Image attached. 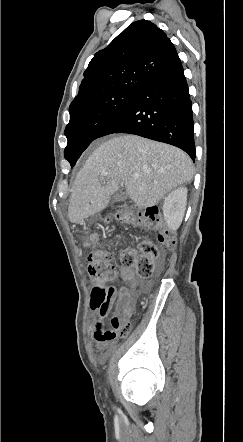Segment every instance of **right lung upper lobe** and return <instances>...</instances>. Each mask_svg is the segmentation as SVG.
<instances>
[{
	"label": "right lung upper lobe",
	"instance_id": "1",
	"mask_svg": "<svg viewBox=\"0 0 243 442\" xmlns=\"http://www.w3.org/2000/svg\"><path fill=\"white\" fill-rule=\"evenodd\" d=\"M176 56L173 43L155 24L132 23L94 55L69 111L113 92L136 91Z\"/></svg>",
	"mask_w": 243,
	"mask_h": 442
}]
</instances>
